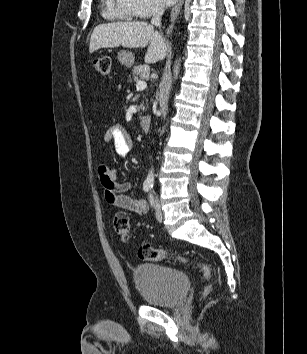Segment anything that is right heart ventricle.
<instances>
[{"label": "right heart ventricle", "instance_id": "obj_1", "mask_svg": "<svg viewBox=\"0 0 307 354\" xmlns=\"http://www.w3.org/2000/svg\"><path fill=\"white\" fill-rule=\"evenodd\" d=\"M103 16L109 20H133L136 14L130 0H103Z\"/></svg>", "mask_w": 307, "mask_h": 354}]
</instances>
